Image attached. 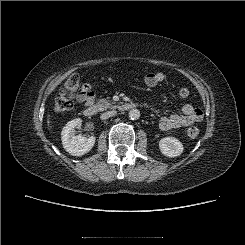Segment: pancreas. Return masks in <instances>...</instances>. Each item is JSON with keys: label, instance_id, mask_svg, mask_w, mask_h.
<instances>
[{"label": "pancreas", "instance_id": "pancreas-1", "mask_svg": "<svg viewBox=\"0 0 245 245\" xmlns=\"http://www.w3.org/2000/svg\"><path fill=\"white\" fill-rule=\"evenodd\" d=\"M97 106L99 107L100 110H106V109H115L117 108L116 105H113L112 103H110L109 100L107 99H100L97 101Z\"/></svg>", "mask_w": 245, "mask_h": 245}]
</instances>
